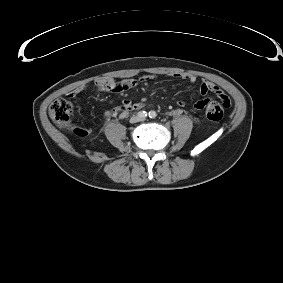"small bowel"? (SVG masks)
I'll list each match as a JSON object with an SVG mask.
<instances>
[{
	"label": "small bowel",
	"instance_id": "c3829d8e",
	"mask_svg": "<svg viewBox=\"0 0 283 283\" xmlns=\"http://www.w3.org/2000/svg\"><path fill=\"white\" fill-rule=\"evenodd\" d=\"M174 77L178 79L186 80L191 84H195L197 82V77L192 74H187V73L175 74ZM153 79H154V76L146 75V76H143L140 79V81L143 83H146ZM137 84H138V81L136 80L127 81L125 84H117L116 82H114L112 79H109V78L98 79L94 83L97 94H100L102 92L123 94L128 89L136 86ZM87 87L88 85L78 86L74 88L73 90H71L70 92H68L66 96L68 98H74L79 93H81L83 90H85ZM199 92L201 95V99L196 101L193 105V108L198 111L206 109L207 106L212 102L209 98V94H213L219 97L220 93H223L222 90L217 85L209 81H205L200 85ZM177 104L180 108L185 106V102L182 100L178 101ZM145 106H146V103L142 101L133 103L129 100H125L119 109L104 111L102 113V119L107 120L110 117H113L117 114H120L122 117H125L126 115H128L130 111L140 110L144 108Z\"/></svg>",
	"mask_w": 283,
	"mask_h": 283
}]
</instances>
